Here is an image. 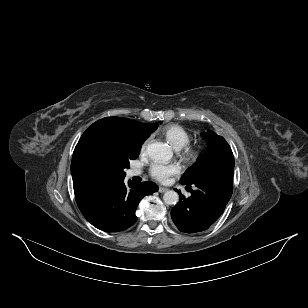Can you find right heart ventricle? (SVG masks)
I'll return each mask as SVG.
<instances>
[{"label": "right heart ventricle", "instance_id": "1", "mask_svg": "<svg viewBox=\"0 0 308 308\" xmlns=\"http://www.w3.org/2000/svg\"><path fill=\"white\" fill-rule=\"evenodd\" d=\"M161 135L165 140L176 150L182 149L189 144L191 140V134L181 125L171 124L164 127L161 131Z\"/></svg>", "mask_w": 308, "mask_h": 308}]
</instances>
